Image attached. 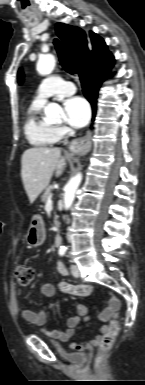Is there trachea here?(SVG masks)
I'll return each instance as SVG.
<instances>
[{
	"label": "trachea",
	"mask_w": 145,
	"mask_h": 385,
	"mask_svg": "<svg viewBox=\"0 0 145 385\" xmlns=\"http://www.w3.org/2000/svg\"><path fill=\"white\" fill-rule=\"evenodd\" d=\"M54 45H55V48H56V51H57V54L59 57V61L62 65L63 69H65L70 74H75L76 70L72 66L70 61L68 60L66 51H65L64 47L62 46L61 42L58 39H55Z\"/></svg>",
	"instance_id": "3493384b"
}]
</instances>
